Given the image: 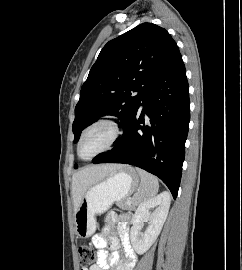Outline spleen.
<instances>
[{
    "label": "spleen",
    "mask_w": 242,
    "mask_h": 270,
    "mask_svg": "<svg viewBox=\"0 0 242 270\" xmlns=\"http://www.w3.org/2000/svg\"><path fill=\"white\" fill-rule=\"evenodd\" d=\"M137 172L140 175L141 183L137 192L133 196V202L141 204L155 197L158 193L159 183L158 179L150 173L139 168L137 169Z\"/></svg>",
    "instance_id": "1"
}]
</instances>
